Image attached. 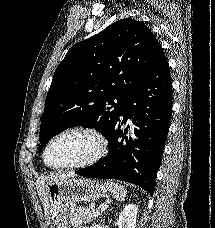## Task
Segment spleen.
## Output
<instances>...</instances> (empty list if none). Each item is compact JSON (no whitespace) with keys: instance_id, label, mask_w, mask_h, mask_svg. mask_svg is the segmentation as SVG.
I'll list each match as a JSON object with an SVG mask.
<instances>
[{"instance_id":"1","label":"spleen","mask_w":215,"mask_h":228,"mask_svg":"<svg viewBox=\"0 0 215 228\" xmlns=\"http://www.w3.org/2000/svg\"><path fill=\"white\" fill-rule=\"evenodd\" d=\"M106 188L111 192L113 198H116L119 202H123L124 198H126L127 190H125L124 186H119L116 182H107Z\"/></svg>"}]
</instances>
